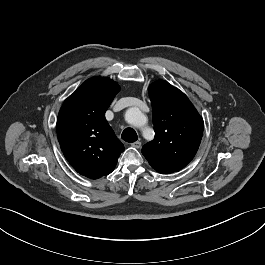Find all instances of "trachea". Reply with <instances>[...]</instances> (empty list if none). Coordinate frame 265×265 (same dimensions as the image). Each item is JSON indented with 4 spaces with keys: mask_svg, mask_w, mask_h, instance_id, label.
<instances>
[{
    "mask_svg": "<svg viewBox=\"0 0 265 265\" xmlns=\"http://www.w3.org/2000/svg\"><path fill=\"white\" fill-rule=\"evenodd\" d=\"M121 138L128 143H133L138 139V136L134 129L126 128L122 132Z\"/></svg>",
    "mask_w": 265,
    "mask_h": 265,
    "instance_id": "trachea-1",
    "label": "trachea"
}]
</instances>
